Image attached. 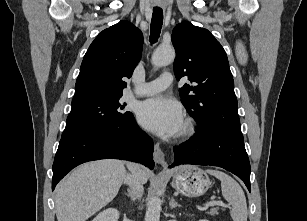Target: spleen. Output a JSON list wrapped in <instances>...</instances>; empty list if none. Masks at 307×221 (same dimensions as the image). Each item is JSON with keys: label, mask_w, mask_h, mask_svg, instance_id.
Masks as SVG:
<instances>
[{"label": "spleen", "mask_w": 307, "mask_h": 221, "mask_svg": "<svg viewBox=\"0 0 307 221\" xmlns=\"http://www.w3.org/2000/svg\"><path fill=\"white\" fill-rule=\"evenodd\" d=\"M206 172L221 181L222 195L232 206L230 214L233 221H247L246 197L240 185L231 176L222 171L208 169Z\"/></svg>", "instance_id": "3e777b00"}]
</instances>
